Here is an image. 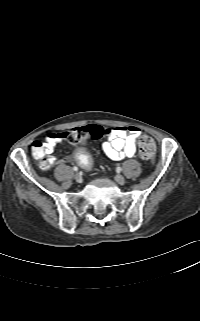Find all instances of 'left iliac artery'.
<instances>
[{"mask_svg": "<svg viewBox=\"0 0 200 321\" xmlns=\"http://www.w3.org/2000/svg\"><path fill=\"white\" fill-rule=\"evenodd\" d=\"M121 170H122L121 167H117V168H116V171H117V172H120Z\"/></svg>", "mask_w": 200, "mask_h": 321, "instance_id": "44dca946", "label": "left iliac artery"}]
</instances>
